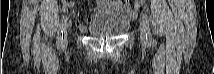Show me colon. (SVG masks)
<instances>
[{
    "instance_id": "colon-1",
    "label": "colon",
    "mask_w": 214,
    "mask_h": 74,
    "mask_svg": "<svg viewBox=\"0 0 214 74\" xmlns=\"http://www.w3.org/2000/svg\"><path fill=\"white\" fill-rule=\"evenodd\" d=\"M135 2L140 5V4H143L145 0H136Z\"/></svg>"
}]
</instances>
